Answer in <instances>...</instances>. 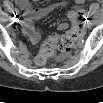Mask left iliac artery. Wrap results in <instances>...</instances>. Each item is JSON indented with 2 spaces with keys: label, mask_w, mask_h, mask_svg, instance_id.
I'll list each match as a JSON object with an SVG mask.
<instances>
[{
  "label": "left iliac artery",
  "mask_w": 103,
  "mask_h": 103,
  "mask_svg": "<svg viewBox=\"0 0 103 103\" xmlns=\"http://www.w3.org/2000/svg\"><path fill=\"white\" fill-rule=\"evenodd\" d=\"M87 19L88 20H92L93 19V15L91 12H87Z\"/></svg>",
  "instance_id": "1"
}]
</instances>
